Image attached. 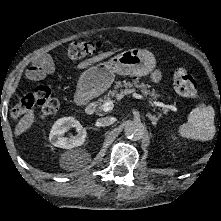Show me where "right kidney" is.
I'll return each mask as SVG.
<instances>
[{
    "label": "right kidney",
    "instance_id": "obj_1",
    "mask_svg": "<svg viewBox=\"0 0 221 221\" xmlns=\"http://www.w3.org/2000/svg\"><path fill=\"white\" fill-rule=\"evenodd\" d=\"M70 127L76 128L78 132L75 136L63 137ZM86 130L82 127L79 121L73 117H64L58 119L49 134V140L55 147L64 149H72L77 146H81L85 142Z\"/></svg>",
    "mask_w": 221,
    "mask_h": 221
}]
</instances>
